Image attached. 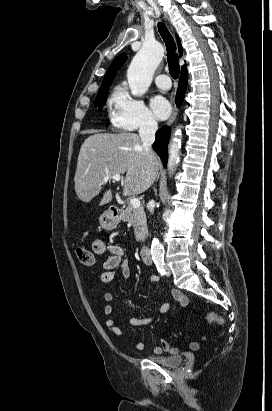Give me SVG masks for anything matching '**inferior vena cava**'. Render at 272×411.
I'll use <instances>...</instances> for the list:
<instances>
[{"label": "inferior vena cava", "mask_w": 272, "mask_h": 411, "mask_svg": "<svg viewBox=\"0 0 272 411\" xmlns=\"http://www.w3.org/2000/svg\"><path fill=\"white\" fill-rule=\"evenodd\" d=\"M158 124L155 119L146 117L142 120L139 126V136L142 141V146L146 152L147 157L149 158L151 153V146L155 140V133L157 131ZM148 210L154 212V202L151 201L148 206Z\"/></svg>", "instance_id": "1"}]
</instances>
